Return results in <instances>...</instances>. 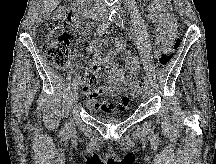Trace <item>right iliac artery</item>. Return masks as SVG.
<instances>
[{
	"mask_svg": "<svg viewBox=\"0 0 216 164\" xmlns=\"http://www.w3.org/2000/svg\"><path fill=\"white\" fill-rule=\"evenodd\" d=\"M113 21V19L110 17L106 22L102 23L98 29H97V33L98 35H102L105 33L106 29L110 26V23ZM77 80L74 79L73 83H72V87H77ZM64 130H67V125L65 126Z\"/></svg>",
	"mask_w": 216,
	"mask_h": 164,
	"instance_id": "obj_1",
	"label": "right iliac artery"
}]
</instances>
